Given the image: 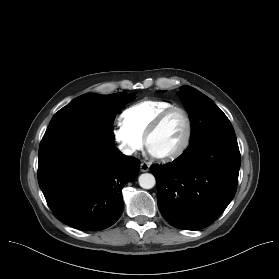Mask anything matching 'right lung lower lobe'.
Masks as SVG:
<instances>
[{"instance_id": "right-lung-lower-lobe-1", "label": "right lung lower lobe", "mask_w": 279, "mask_h": 279, "mask_svg": "<svg viewBox=\"0 0 279 279\" xmlns=\"http://www.w3.org/2000/svg\"><path fill=\"white\" fill-rule=\"evenodd\" d=\"M38 158L39 186L53 214L87 231L108 228L119 219L122 188L140 169L137 159L84 128L45 134Z\"/></svg>"}]
</instances>
